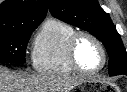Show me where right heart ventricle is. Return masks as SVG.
I'll list each match as a JSON object with an SVG mask.
<instances>
[{"label": "right heart ventricle", "mask_w": 127, "mask_h": 92, "mask_svg": "<svg viewBox=\"0 0 127 92\" xmlns=\"http://www.w3.org/2000/svg\"><path fill=\"white\" fill-rule=\"evenodd\" d=\"M75 32L76 29L67 22L47 19L34 38L31 54L33 68L48 75L75 73L67 59V44Z\"/></svg>", "instance_id": "obj_1"}]
</instances>
